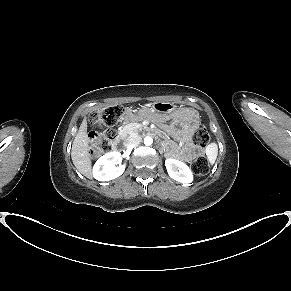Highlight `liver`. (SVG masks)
Instances as JSON below:
<instances>
[{
  "instance_id": "1",
  "label": "liver",
  "mask_w": 291,
  "mask_h": 291,
  "mask_svg": "<svg viewBox=\"0 0 291 291\" xmlns=\"http://www.w3.org/2000/svg\"><path fill=\"white\" fill-rule=\"evenodd\" d=\"M71 158L77 170L87 178L91 179L92 164L89 154V137L87 135L86 120H83L73 141Z\"/></svg>"
}]
</instances>
